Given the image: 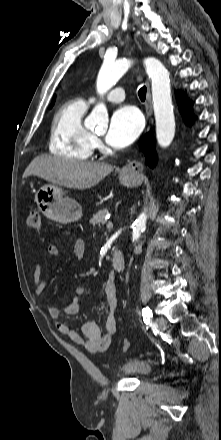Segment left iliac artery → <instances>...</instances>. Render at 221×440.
Wrapping results in <instances>:
<instances>
[{
  "mask_svg": "<svg viewBox=\"0 0 221 440\" xmlns=\"http://www.w3.org/2000/svg\"><path fill=\"white\" fill-rule=\"evenodd\" d=\"M143 320L146 324L150 323V319L153 317L152 310L149 307L142 309Z\"/></svg>",
  "mask_w": 221,
  "mask_h": 440,
  "instance_id": "obj_1",
  "label": "left iliac artery"
}]
</instances>
